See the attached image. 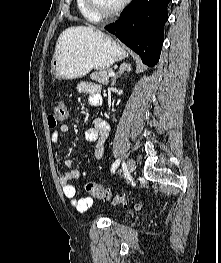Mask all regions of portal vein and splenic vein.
I'll return each mask as SVG.
<instances>
[{
	"label": "portal vein and splenic vein",
	"mask_w": 221,
	"mask_h": 263,
	"mask_svg": "<svg viewBox=\"0 0 221 263\" xmlns=\"http://www.w3.org/2000/svg\"><path fill=\"white\" fill-rule=\"evenodd\" d=\"M114 75H115V73H114L113 71H111V72L108 74L109 77H113Z\"/></svg>",
	"instance_id": "1"
}]
</instances>
